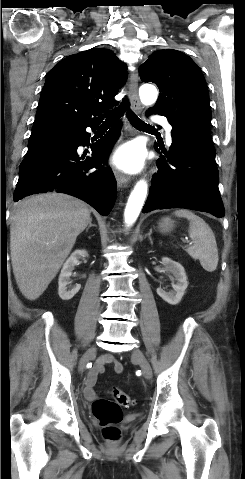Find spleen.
Listing matches in <instances>:
<instances>
[{
    "instance_id": "spleen-1",
    "label": "spleen",
    "mask_w": 245,
    "mask_h": 479,
    "mask_svg": "<svg viewBox=\"0 0 245 479\" xmlns=\"http://www.w3.org/2000/svg\"><path fill=\"white\" fill-rule=\"evenodd\" d=\"M174 215L186 218L189 221V237L192 246L185 250L193 258L200 261L201 266L208 272L216 270L219 256L215 235L210 226L199 216L185 209L176 210Z\"/></svg>"
}]
</instances>
